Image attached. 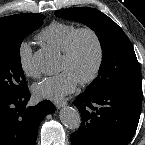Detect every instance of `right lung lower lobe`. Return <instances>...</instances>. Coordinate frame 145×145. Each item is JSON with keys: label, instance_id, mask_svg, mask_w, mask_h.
<instances>
[{"label": "right lung lower lobe", "instance_id": "98d812e1", "mask_svg": "<svg viewBox=\"0 0 145 145\" xmlns=\"http://www.w3.org/2000/svg\"><path fill=\"white\" fill-rule=\"evenodd\" d=\"M29 99L28 88L17 95H0V145L36 144L40 122L55 107L48 100L27 106Z\"/></svg>", "mask_w": 145, "mask_h": 145}]
</instances>
